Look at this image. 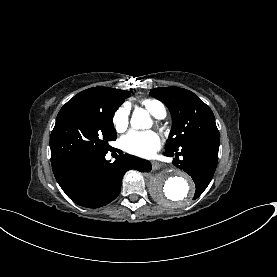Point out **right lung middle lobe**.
Instances as JSON below:
<instances>
[{"label": "right lung middle lobe", "instance_id": "obj_1", "mask_svg": "<svg viewBox=\"0 0 277 277\" xmlns=\"http://www.w3.org/2000/svg\"><path fill=\"white\" fill-rule=\"evenodd\" d=\"M116 110L91 102L68 101L58 113L51 133V164L73 156L107 151L108 141L117 137L112 122Z\"/></svg>", "mask_w": 277, "mask_h": 277}]
</instances>
